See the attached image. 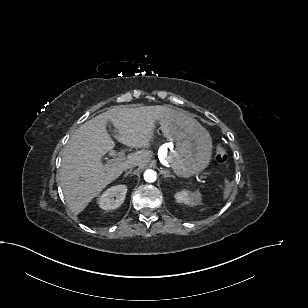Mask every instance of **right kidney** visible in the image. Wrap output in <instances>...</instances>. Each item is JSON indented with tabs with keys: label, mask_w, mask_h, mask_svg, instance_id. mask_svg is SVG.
Returning <instances> with one entry per match:
<instances>
[{
	"label": "right kidney",
	"mask_w": 308,
	"mask_h": 308,
	"mask_svg": "<svg viewBox=\"0 0 308 308\" xmlns=\"http://www.w3.org/2000/svg\"><path fill=\"white\" fill-rule=\"evenodd\" d=\"M127 186L116 185L107 189L99 198V206L103 210H114L118 208L125 199Z\"/></svg>",
	"instance_id": "1"
}]
</instances>
